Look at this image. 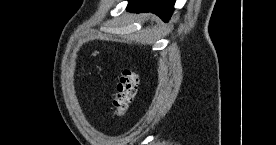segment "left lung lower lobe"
Returning <instances> with one entry per match:
<instances>
[{
    "label": "left lung lower lobe",
    "instance_id": "obj_1",
    "mask_svg": "<svg viewBox=\"0 0 276 145\" xmlns=\"http://www.w3.org/2000/svg\"><path fill=\"white\" fill-rule=\"evenodd\" d=\"M131 12H152L167 22L174 10L175 0H128Z\"/></svg>",
    "mask_w": 276,
    "mask_h": 145
}]
</instances>
